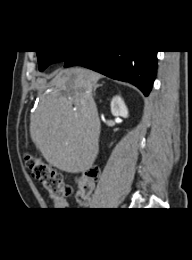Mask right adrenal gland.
<instances>
[{"label": "right adrenal gland", "mask_w": 192, "mask_h": 260, "mask_svg": "<svg viewBox=\"0 0 192 260\" xmlns=\"http://www.w3.org/2000/svg\"><path fill=\"white\" fill-rule=\"evenodd\" d=\"M103 84H94V89H93V95L95 96V92H96V89L98 88V87H101Z\"/></svg>", "instance_id": "2a0ac1e0"}]
</instances>
